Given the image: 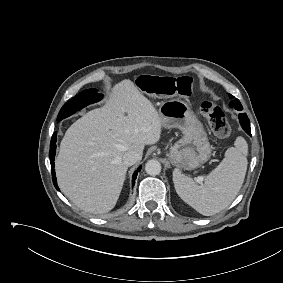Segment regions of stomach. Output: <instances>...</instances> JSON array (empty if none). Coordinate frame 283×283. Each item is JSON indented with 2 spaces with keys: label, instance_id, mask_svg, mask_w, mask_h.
<instances>
[{
  "label": "stomach",
  "instance_id": "1",
  "mask_svg": "<svg viewBox=\"0 0 283 283\" xmlns=\"http://www.w3.org/2000/svg\"><path fill=\"white\" fill-rule=\"evenodd\" d=\"M159 115L163 128H179L183 134L169 153L175 166L192 170L208 161L212 150L207 134L202 123L185 102L175 99L162 103Z\"/></svg>",
  "mask_w": 283,
  "mask_h": 283
}]
</instances>
